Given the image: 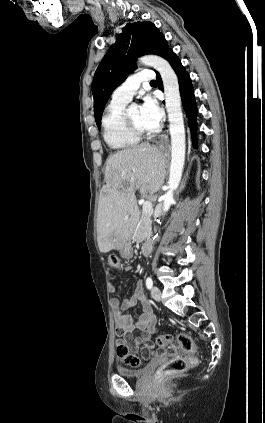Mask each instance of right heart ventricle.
<instances>
[{
	"mask_svg": "<svg viewBox=\"0 0 265 423\" xmlns=\"http://www.w3.org/2000/svg\"><path fill=\"white\" fill-rule=\"evenodd\" d=\"M126 104L127 102L112 99L102 118L104 140L109 147L116 150L130 149L139 143V137L132 134L124 123Z\"/></svg>",
	"mask_w": 265,
	"mask_h": 423,
	"instance_id": "1",
	"label": "right heart ventricle"
}]
</instances>
